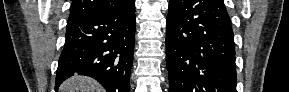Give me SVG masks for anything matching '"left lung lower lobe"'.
<instances>
[{"mask_svg":"<svg viewBox=\"0 0 289 92\" xmlns=\"http://www.w3.org/2000/svg\"><path fill=\"white\" fill-rule=\"evenodd\" d=\"M169 92H236L235 43L223 0H170Z\"/></svg>","mask_w":289,"mask_h":92,"instance_id":"1","label":"left lung lower lobe"}]
</instances>
